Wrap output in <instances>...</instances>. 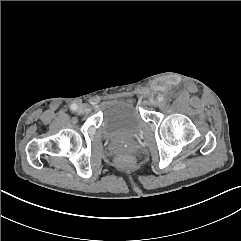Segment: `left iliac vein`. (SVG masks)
I'll return each mask as SVG.
<instances>
[{
    "instance_id": "left-iliac-vein-1",
    "label": "left iliac vein",
    "mask_w": 241,
    "mask_h": 241,
    "mask_svg": "<svg viewBox=\"0 0 241 241\" xmlns=\"http://www.w3.org/2000/svg\"><path fill=\"white\" fill-rule=\"evenodd\" d=\"M148 104L151 105V106H157L159 103L157 100L151 98L148 100Z\"/></svg>"
}]
</instances>
